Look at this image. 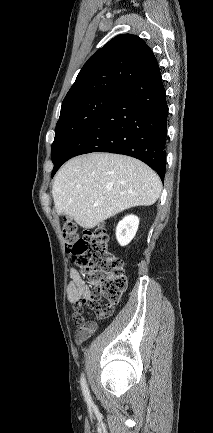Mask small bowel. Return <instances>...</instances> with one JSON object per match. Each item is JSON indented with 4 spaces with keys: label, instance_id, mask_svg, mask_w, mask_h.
I'll list each match as a JSON object with an SVG mask.
<instances>
[{
    "label": "small bowel",
    "instance_id": "1",
    "mask_svg": "<svg viewBox=\"0 0 213 433\" xmlns=\"http://www.w3.org/2000/svg\"><path fill=\"white\" fill-rule=\"evenodd\" d=\"M69 278L70 281L66 287L67 299L74 309L78 311L82 308L84 302L92 299L91 291L76 268L72 267L70 269ZM96 328V323L89 321L86 327L76 331V341L78 343L86 341L96 331Z\"/></svg>",
    "mask_w": 213,
    "mask_h": 433
}]
</instances>
